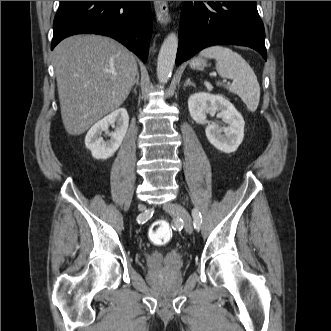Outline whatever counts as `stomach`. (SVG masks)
<instances>
[{"instance_id": "obj_1", "label": "stomach", "mask_w": 331, "mask_h": 331, "mask_svg": "<svg viewBox=\"0 0 331 331\" xmlns=\"http://www.w3.org/2000/svg\"><path fill=\"white\" fill-rule=\"evenodd\" d=\"M205 66H206V61L204 59H202V58H194L190 62V67L192 69L199 70V69H202Z\"/></svg>"}]
</instances>
